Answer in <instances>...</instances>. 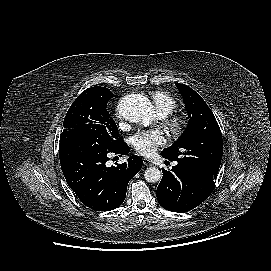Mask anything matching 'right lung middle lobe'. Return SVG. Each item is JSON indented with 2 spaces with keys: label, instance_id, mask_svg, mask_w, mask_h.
I'll return each instance as SVG.
<instances>
[{
  "label": "right lung middle lobe",
  "instance_id": "right-lung-middle-lobe-1",
  "mask_svg": "<svg viewBox=\"0 0 271 271\" xmlns=\"http://www.w3.org/2000/svg\"><path fill=\"white\" fill-rule=\"evenodd\" d=\"M114 94L105 87H91L82 92L69 108L60 136V145H99L114 149L123 139L110 117L107 104Z\"/></svg>",
  "mask_w": 271,
  "mask_h": 271
}]
</instances>
